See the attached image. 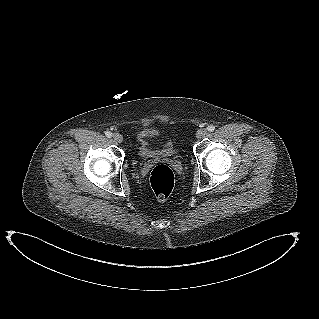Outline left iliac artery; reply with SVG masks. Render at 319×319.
Listing matches in <instances>:
<instances>
[{"label":"left iliac artery","instance_id":"left-iliac-artery-1","mask_svg":"<svg viewBox=\"0 0 319 319\" xmlns=\"http://www.w3.org/2000/svg\"><path fill=\"white\" fill-rule=\"evenodd\" d=\"M207 129H208V131L213 132L215 130V126L210 125V126H208Z\"/></svg>","mask_w":319,"mask_h":319}]
</instances>
